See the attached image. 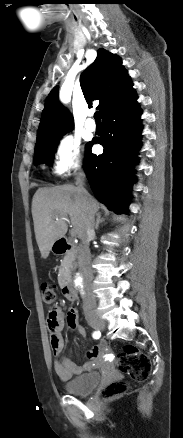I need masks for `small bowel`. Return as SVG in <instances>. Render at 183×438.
Masks as SVG:
<instances>
[{
    "label": "small bowel",
    "mask_w": 183,
    "mask_h": 438,
    "mask_svg": "<svg viewBox=\"0 0 183 438\" xmlns=\"http://www.w3.org/2000/svg\"><path fill=\"white\" fill-rule=\"evenodd\" d=\"M78 311L75 307L71 308L67 314L60 308H53L49 311L47 316V326L50 332V343L52 352L57 359L54 362V370L58 377L67 381L73 376L81 374L83 371L90 370L93 366L92 363H86L83 366H78L72 360L62 355L64 349V339L62 331L65 321L69 327L75 329L81 336H85V329L78 323ZM105 347L104 343L93 347L88 351V358L95 359L99 356L101 350Z\"/></svg>",
    "instance_id": "obj_1"
}]
</instances>
